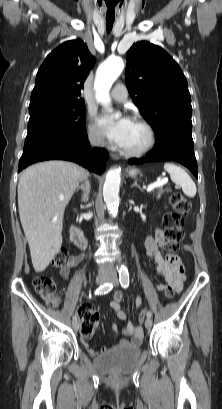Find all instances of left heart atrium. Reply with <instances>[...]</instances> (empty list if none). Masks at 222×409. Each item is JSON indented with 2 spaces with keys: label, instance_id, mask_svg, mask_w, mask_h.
<instances>
[{
  "label": "left heart atrium",
  "instance_id": "obj_1",
  "mask_svg": "<svg viewBox=\"0 0 222 409\" xmlns=\"http://www.w3.org/2000/svg\"><path fill=\"white\" fill-rule=\"evenodd\" d=\"M98 123L108 138L117 146L122 147L132 121L128 117L113 121L108 114L104 113L99 117Z\"/></svg>",
  "mask_w": 222,
  "mask_h": 409
}]
</instances>
